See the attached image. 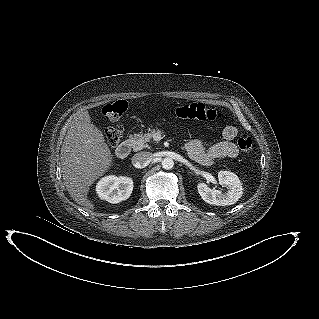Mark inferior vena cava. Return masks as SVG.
I'll return each instance as SVG.
<instances>
[{
    "label": "inferior vena cava",
    "mask_w": 319,
    "mask_h": 319,
    "mask_svg": "<svg viewBox=\"0 0 319 319\" xmlns=\"http://www.w3.org/2000/svg\"><path fill=\"white\" fill-rule=\"evenodd\" d=\"M153 160V155L150 152L142 151L139 153H136L132 157V163L134 167L136 168H144L150 164V162Z\"/></svg>",
    "instance_id": "obj_1"
}]
</instances>
